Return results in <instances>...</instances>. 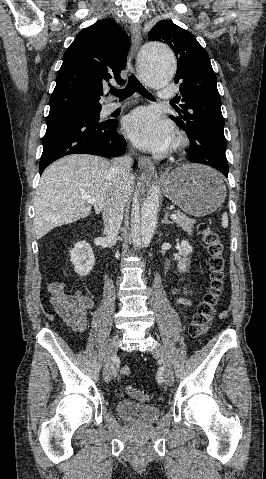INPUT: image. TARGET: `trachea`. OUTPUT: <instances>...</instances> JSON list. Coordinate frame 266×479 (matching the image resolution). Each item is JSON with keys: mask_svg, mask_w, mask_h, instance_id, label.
I'll list each match as a JSON object with an SVG mask.
<instances>
[{"mask_svg": "<svg viewBox=\"0 0 266 479\" xmlns=\"http://www.w3.org/2000/svg\"><path fill=\"white\" fill-rule=\"evenodd\" d=\"M129 83L124 89H115L111 88L110 93L118 97L120 100L130 97L135 92H138L145 98L150 100H155V98L145 89V87L140 83V81L134 76H129Z\"/></svg>", "mask_w": 266, "mask_h": 479, "instance_id": "3493384b", "label": "trachea"}]
</instances>
